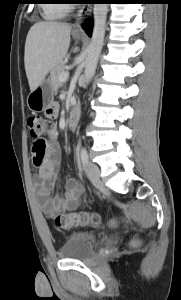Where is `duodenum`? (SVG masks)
<instances>
[{"instance_id":"duodenum-1","label":"duodenum","mask_w":181,"mask_h":300,"mask_svg":"<svg viewBox=\"0 0 181 300\" xmlns=\"http://www.w3.org/2000/svg\"><path fill=\"white\" fill-rule=\"evenodd\" d=\"M79 114H80V110L78 106H74L70 111L69 118H68V127L72 131L75 130L77 127Z\"/></svg>"}]
</instances>
